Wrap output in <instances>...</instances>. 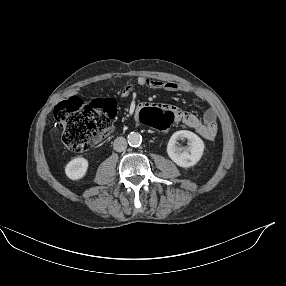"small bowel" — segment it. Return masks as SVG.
<instances>
[{
    "mask_svg": "<svg viewBox=\"0 0 286 286\" xmlns=\"http://www.w3.org/2000/svg\"><path fill=\"white\" fill-rule=\"evenodd\" d=\"M143 87L168 92L194 93L193 89L182 84L163 80H150L140 76L136 79L135 83L124 86L122 94L127 96L132 94L137 88ZM195 94L199 99H206V96L202 92H195ZM154 105L170 111L174 117V122H183L188 128L196 131L203 139L213 141L216 138L218 132L217 112L213 107L207 109L203 119H199L192 113L181 111L178 108L171 106L170 102L167 100L155 101L154 99H147L139 101L136 104L135 109L132 111V116L138 117L144 108Z\"/></svg>",
    "mask_w": 286,
    "mask_h": 286,
    "instance_id": "obj_1",
    "label": "small bowel"
}]
</instances>
